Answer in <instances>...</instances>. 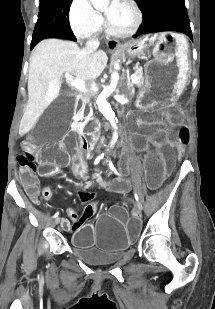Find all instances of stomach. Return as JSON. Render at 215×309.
I'll list each match as a JSON object with an SVG mask.
<instances>
[{
  "label": "stomach",
  "mask_w": 215,
  "mask_h": 309,
  "mask_svg": "<svg viewBox=\"0 0 215 309\" xmlns=\"http://www.w3.org/2000/svg\"><path fill=\"white\" fill-rule=\"evenodd\" d=\"M153 47V59L145 66L140 94L145 100H175L187 82L188 42L175 32L142 36L124 44L122 51L131 57H144Z\"/></svg>",
  "instance_id": "stomach-1"
}]
</instances>
